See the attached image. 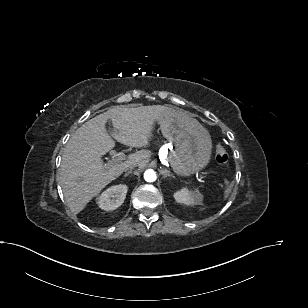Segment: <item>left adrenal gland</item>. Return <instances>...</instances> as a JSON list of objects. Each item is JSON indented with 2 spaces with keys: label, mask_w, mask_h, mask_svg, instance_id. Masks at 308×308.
Returning <instances> with one entry per match:
<instances>
[{
  "label": "left adrenal gland",
  "mask_w": 308,
  "mask_h": 308,
  "mask_svg": "<svg viewBox=\"0 0 308 308\" xmlns=\"http://www.w3.org/2000/svg\"><path fill=\"white\" fill-rule=\"evenodd\" d=\"M161 174H163L164 178H166V177H172V178H175V176H174V175H172V174H170V171H169V170H167V169H163V170H161Z\"/></svg>",
  "instance_id": "obj_1"
}]
</instances>
